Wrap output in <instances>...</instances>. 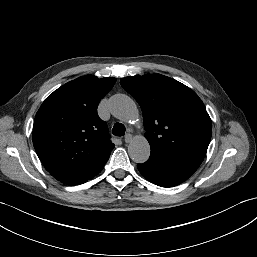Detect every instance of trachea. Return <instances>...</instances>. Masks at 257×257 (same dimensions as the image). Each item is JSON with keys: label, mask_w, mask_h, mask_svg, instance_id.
<instances>
[{"label": "trachea", "mask_w": 257, "mask_h": 257, "mask_svg": "<svg viewBox=\"0 0 257 257\" xmlns=\"http://www.w3.org/2000/svg\"><path fill=\"white\" fill-rule=\"evenodd\" d=\"M125 130H126V128L122 123H116L113 126L112 133H113V135L120 137L125 134Z\"/></svg>", "instance_id": "trachea-1"}]
</instances>
